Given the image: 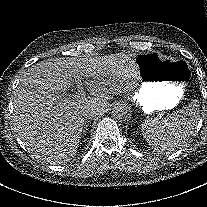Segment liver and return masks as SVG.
Returning <instances> with one entry per match:
<instances>
[{"label": "liver", "mask_w": 207, "mask_h": 207, "mask_svg": "<svg viewBox=\"0 0 207 207\" xmlns=\"http://www.w3.org/2000/svg\"><path fill=\"white\" fill-rule=\"evenodd\" d=\"M81 77L93 78L96 83V70L70 59L42 61L21 77L14 94L12 130L28 150L47 148L51 158L57 157L51 152L58 156L75 153L84 118L95 114L97 106L96 99L69 92Z\"/></svg>", "instance_id": "6515ba94"}]
</instances>
